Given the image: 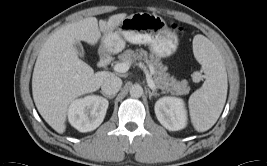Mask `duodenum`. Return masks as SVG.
Instances as JSON below:
<instances>
[{"mask_svg":"<svg viewBox=\"0 0 267 166\" xmlns=\"http://www.w3.org/2000/svg\"><path fill=\"white\" fill-rule=\"evenodd\" d=\"M111 62V56L105 52L101 53L99 59V66L106 67Z\"/></svg>","mask_w":267,"mask_h":166,"instance_id":"1","label":"duodenum"}]
</instances>
